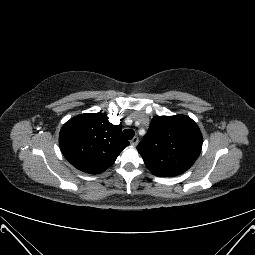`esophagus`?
I'll use <instances>...</instances> for the list:
<instances>
[{"instance_id":"34e87169","label":"esophagus","mask_w":255,"mask_h":255,"mask_svg":"<svg viewBox=\"0 0 255 255\" xmlns=\"http://www.w3.org/2000/svg\"><path fill=\"white\" fill-rule=\"evenodd\" d=\"M138 142H139V138L136 136L134 138H132L130 141L132 146H137Z\"/></svg>"}]
</instances>
